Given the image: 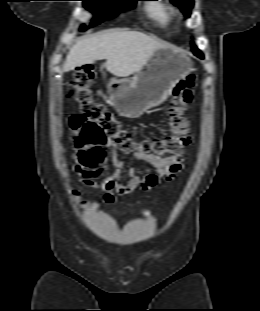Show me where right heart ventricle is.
<instances>
[{
  "instance_id": "obj_1",
  "label": "right heart ventricle",
  "mask_w": 260,
  "mask_h": 311,
  "mask_svg": "<svg viewBox=\"0 0 260 311\" xmlns=\"http://www.w3.org/2000/svg\"><path fill=\"white\" fill-rule=\"evenodd\" d=\"M146 14L150 19L156 22L161 27H168L174 20L172 10L161 0L155 4H149L145 8Z\"/></svg>"
}]
</instances>
